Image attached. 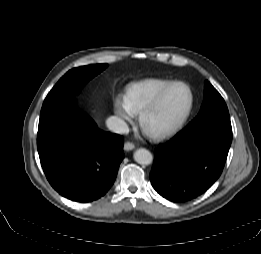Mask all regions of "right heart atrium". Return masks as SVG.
<instances>
[{
  "label": "right heart atrium",
  "instance_id": "obj_1",
  "mask_svg": "<svg viewBox=\"0 0 261 254\" xmlns=\"http://www.w3.org/2000/svg\"><path fill=\"white\" fill-rule=\"evenodd\" d=\"M115 114L124 121H130L134 117L126 98H117L114 104Z\"/></svg>",
  "mask_w": 261,
  "mask_h": 254
}]
</instances>
